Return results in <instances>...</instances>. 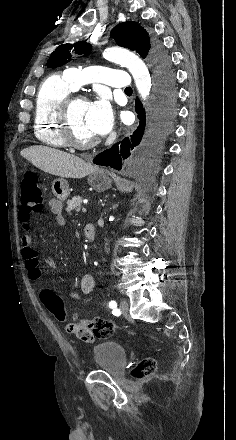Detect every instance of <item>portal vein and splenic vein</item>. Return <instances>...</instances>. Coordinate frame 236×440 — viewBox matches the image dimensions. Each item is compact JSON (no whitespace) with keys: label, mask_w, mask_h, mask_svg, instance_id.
Returning a JSON list of instances; mask_svg holds the SVG:
<instances>
[{"label":"portal vein and splenic vein","mask_w":236,"mask_h":440,"mask_svg":"<svg viewBox=\"0 0 236 440\" xmlns=\"http://www.w3.org/2000/svg\"><path fill=\"white\" fill-rule=\"evenodd\" d=\"M82 212H87V209L85 207H83Z\"/></svg>","instance_id":"obj_1"}]
</instances>
